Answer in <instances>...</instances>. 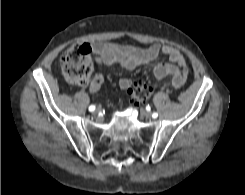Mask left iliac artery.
<instances>
[{
  "instance_id": "left-iliac-artery-1",
  "label": "left iliac artery",
  "mask_w": 245,
  "mask_h": 195,
  "mask_svg": "<svg viewBox=\"0 0 245 195\" xmlns=\"http://www.w3.org/2000/svg\"><path fill=\"white\" fill-rule=\"evenodd\" d=\"M152 117H153V118H157V117H158V113L154 112V113L152 114Z\"/></svg>"
}]
</instances>
